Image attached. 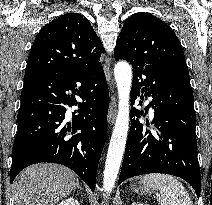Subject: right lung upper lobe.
<instances>
[{
	"label": "right lung upper lobe",
	"instance_id": "cb5924a9",
	"mask_svg": "<svg viewBox=\"0 0 212 205\" xmlns=\"http://www.w3.org/2000/svg\"><path fill=\"white\" fill-rule=\"evenodd\" d=\"M104 52L89 20L78 13H67L38 33L27 61L24 82L48 74L102 68Z\"/></svg>",
	"mask_w": 212,
	"mask_h": 205
}]
</instances>
